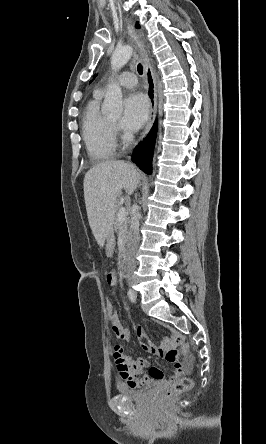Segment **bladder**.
<instances>
[{"instance_id": "31cf9c89", "label": "bladder", "mask_w": 266, "mask_h": 444, "mask_svg": "<svg viewBox=\"0 0 266 444\" xmlns=\"http://www.w3.org/2000/svg\"><path fill=\"white\" fill-rule=\"evenodd\" d=\"M156 385H157V383H155V382L150 383L149 385H147L139 390H133V389H129V388L120 386L119 392H120L121 396H123L124 398H126L128 400L141 402V401H144L146 398H148L153 393V390L155 389Z\"/></svg>"}]
</instances>
